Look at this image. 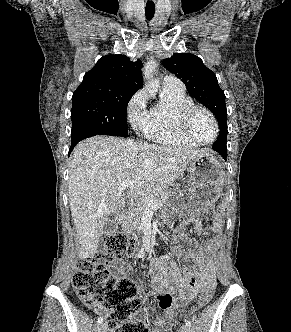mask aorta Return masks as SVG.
Here are the masks:
<instances>
[{
    "label": "aorta",
    "mask_w": 291,
    "mask_h": 332,
    "mask_svg": "<svg viewBox=\"0 0 291 332\" xmlns=\"http://www.w3.org/2000/svg\"><path fill=\"white\" fill-rule=\"evenodd\" d=\"M156 67V62L154 60L148 61L143 68V79L146 84V88L150 93H154L156 91V85L153 82V72Z\"/></svg>",
    "instance_id": "obj_1"
}]
</instances>
